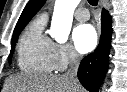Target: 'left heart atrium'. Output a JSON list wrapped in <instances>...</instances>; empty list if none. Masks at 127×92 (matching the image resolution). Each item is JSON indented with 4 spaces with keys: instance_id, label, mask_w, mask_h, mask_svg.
Wrapping results in <instances>:
<instances>
[{
    "instance_id": "obj_1",
    "label": "left heart atrium",
    "mask_w": 127,
    "mask_h": 92,
    "mask_svg": "<svg viewBox=\"0 0 127 92\" xmlns=\"http://www.w3.org/2000/svg\"><path fill=\"white\" fill-rule=\"evenodd\" d=\"M73 42L80 53L92 51L97 44V33L90 24L78 25L73 32Z\"/></svg>"
}]
</instances>
